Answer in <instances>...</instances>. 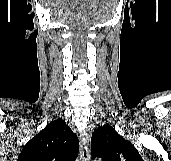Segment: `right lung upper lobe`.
Masks as SVG:
<instances>
[{
  "label": "right lung upper lobe",
  "mask_w": 171,
  "mask_h": 161,
  "mask_svg": "<svg viewBox=\"0 0 171 161\" xmlns=\"http://www.w3.org/2000/svg\"><path fill=\"white\" fill-rule=\"evenodd\" d=\"M78 150L76 134L65 121L57 119L23 147L17 161H75Z\"/></svg>",
  "instance_id": "cb5924a9"
}]
</instances>
